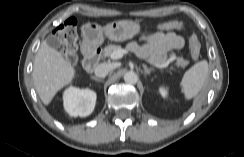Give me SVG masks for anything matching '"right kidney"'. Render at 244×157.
I'll return each instance as SVG.
<instances>
[{"label":"right kidney","mask_w":244,"mask_h":157,"mask_svg":"<svg viewBox=\"0 0 244 157\" xmlns=\"http://www.w3.org/2000/svg\"><path fill=\"white\" fill-rule=\"evenodd\" d=\"M96 98V93L90 89L69 87L63 96L64 109L70 116L86 117L93 112Z\"/></svg>","instance_id":"right-kidney-1"}]
</instances>
